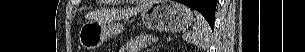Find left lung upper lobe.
<instances>
[{
  "mask_svg": "<svg viewBox=\"0 0 305 52\" xmlns=\"http://www.w3.org/2000/svg\"><path fill=\"white\" fill-rule=\"evenodd\" d=\"M214 15H215V11L203 13V16L205 17V19L208 21V23L210 25H214Z\"/></svg>",
  "mask_w": 305,
  "mask_h": 52,
  "instance_id": "left-lung-upper-lobe-1",
  "label": "left lung upper lobe"
}]
</instances>
